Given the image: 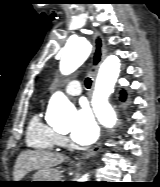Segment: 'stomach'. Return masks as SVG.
<instances>
[{"label":"stomach","instance_id":"0dacf381","mask_svg":"<svg viewBox=\"0 0 160 187\" xmlns=\"http://www.w3.org/2000/svg\"><path fill=\"white\" fill-rule=\"evenodd\" d=\"M59 173L54 169L40 170L36 172L31 181L25 186L29 187H48L54 184L52 182H59Z\"/></svg>","mask_w":160,"mask_h":187}]
</instances>
